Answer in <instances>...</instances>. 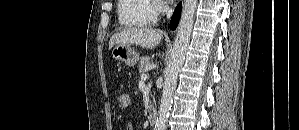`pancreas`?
Masks as SVG:
<instances>
[{"instance_id": "pancreas-1", "label": "pancreas", "mask_w": 299, "mask_h": 130, "mask_svg": "<svg viewBox=\"0 0 299 130\" xmlns=\"http://www.w3.org/2000/svg\"><path fill=\"white\" fill-rule=\"evenodd\" d=\"M150 65V58L148 56H142L139 63V73L141 75L148 71V66Z\"/></svg>"}]
</instances>
